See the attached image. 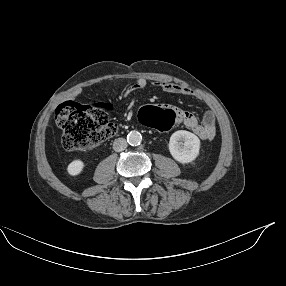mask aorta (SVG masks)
I'll list each match as a JSON object with an SVG mask.
<instances>
[{
    "label": "aorta",
    "instance_id": "762f6f07",
    "mask_svg": "<svg viewBox=\"0 0 286 286\" xmlns=\"http://www.w3.org/2000/svg\"><path fill=\"white\" fill-rule=\"evenodd\" d=\"M127 142L131 145V146H137L140 145V143L142 142V136L140 134V132L138 131H131L128 135H127Z\"/></svg>",
    "mask_w": 286,
    "mask_h": 286
}]
</instances>
